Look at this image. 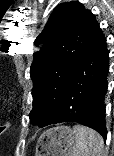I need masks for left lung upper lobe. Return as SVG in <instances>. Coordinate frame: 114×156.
<instances>
[{
  "instance_id": "1",
  "label": "left lung upper lobe",
  "mask_w": 114,
  "mask_h": 156,
  "mask_svg": "<svg viewBox=\"0 0 114 156\" xmlns=\"http://www.w3.org/2000/svg\"><path fill=\"white\" fill-rule=\"evenodd\" d=\"M91 11L78 1L63 3L51 14L35 43L30 74L33 80V123L45 126L59 110L75 66L96 25Z\"/></svg>"
}]
</instances>
